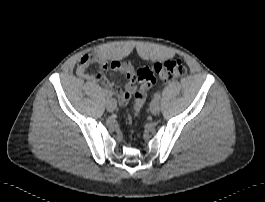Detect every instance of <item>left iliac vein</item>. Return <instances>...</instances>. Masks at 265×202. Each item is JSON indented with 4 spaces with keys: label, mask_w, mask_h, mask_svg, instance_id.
Wrapping results in <instances>:
<instances>
[{
    "label": "left iliac vein",
    "mask_w": 265,
    "mask_h": 202,
    "mask_svg": "<svg viewBox=\"0 0 265 202\" xmlns=\"http://www.w3.org/2000/svg\"><path fill=\"white\" fill-rule=\"evenodd\" d=\"M150 111L153 115H157L160 112V103L158 100H153L150 104Z\"/></svg>",
    "instance_id": "4c4485c4"
}]
</instances>
